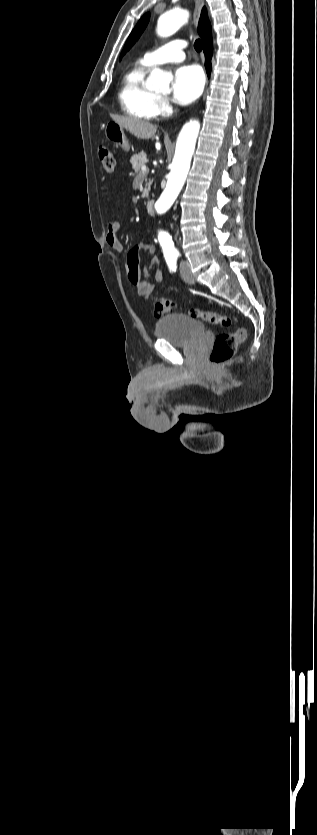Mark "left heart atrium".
<instances>
[{
    "label": "left heart atrium",
    "instance_id": "39dd6f15",
    "mask_svg": "<svg viewBox=\"0 0 317 835\" xmlns=\"http://www.w3.org/2000/svg\"><path fill=\"white\" fill-rule=\"evenodd\" d=\"M204 86V75L196 65H185L179 67L172 83L174 100L180 104L193 102L202 92Z\"/></svg>",
    "mask_w": 317,
    "mask_h": 835
}]
</instances>
